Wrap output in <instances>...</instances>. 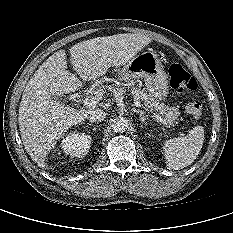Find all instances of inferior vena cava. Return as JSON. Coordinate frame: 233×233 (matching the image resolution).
Instances as JSON below:
<instances>
[{"instance_id": "obj_1", "label": "inferior vena cava", "mask_w": 233, "mask_h": 233, "mask_svg": "<svg viewBox=\"0 0 233 233\" xmlns=\"http://www.w3.org/2000/svg\"><path fill=\"white\" fill-rule=\"evenodd\" d=\"M105 118H106V113L100 109L92 110L88 115V119L90 122H101Z\"/></svg>"}]
</instances>
